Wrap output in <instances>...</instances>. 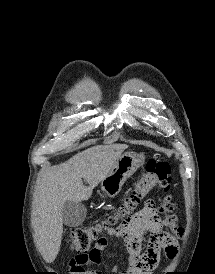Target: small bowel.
I'll return each mask as SVG.
<instances>
[{
    "instance_id": "obj_1",
    "label": "small bowel",
    "mask_w": 215,
    "mask_h": 274,
    "mask_svg": "<svg viewBox=\"0 0 215 274\" xmlns=\"http://www.w3.org/2000/svg\"><path fill=\"white\" fill-rule=\"evenodd\" d=\"M165 233L152 200H147L141 211L128 217L117 227L108 228L106 234L121 241L128 255L126 267L123 270L116 269L115 272L153 274V270L161 261L162 250L169 259H174L177 254L176 242L167 240L164 237ZM144 242L146 246L143 250ZM107 244V238L101 237L90 252L78 254L71 259L68 272L70 274H102L88 267L101 263L102 252Z\"/></svg>"
}]
</instances>
